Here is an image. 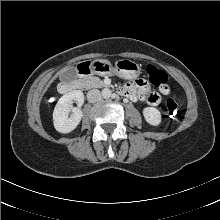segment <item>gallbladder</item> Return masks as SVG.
Here are the masks:
<instances>
[{"instance_id": "1", "label": "gallbladder", "mask_w": 220, "mask_h": 220, "mask_svg": "<svg viewBox=\"0 0 220 220\" xmlns=\"http://www.w3.org/2000/svg\"><path fill=\"white\" fill-rule=\"evenodd\" d=\"M69 76V79L70 80H74L76 77H77V70L75 67H70L67 71H65L63 74H62V77L63 78H66Z\"/></svg>"}]
</instances>
